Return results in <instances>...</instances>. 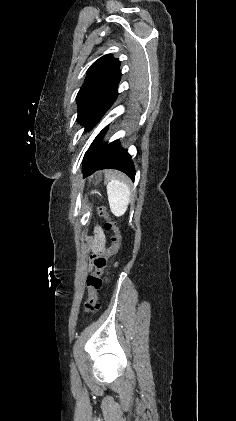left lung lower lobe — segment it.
<instances>
[{"instance_id":"left-lung-lower-lobe-1","label":"left lung lower lobe","mask_w":236,"mask_h":421,"mask_svg":"<svg viewBox=\"0 0 236 421\" xmlns=\"http://www.w3.org/2000/svg\"><path fill=\"white\" fill-rule=\"evenodd\" d=\"M106 131L107 127L96 136L84 155L82 168L84 177L91 175L97 170L112 168L121 170L134 180L135 169L131 156L127 151L121 150L119 140L102 145V138Z\"/></svg>"}]
</instances>
